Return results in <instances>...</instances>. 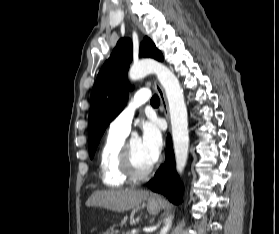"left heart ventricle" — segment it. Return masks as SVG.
<instances>
[{"label": "left heart ventricle", "mask_w": 279, "mask_h": 234, "mask_svg": "<svg viewBox=\"0 0 279 234\" xmlns=\"http://www.w3.org/2000/svg\"><path fill=\"white\" fill-rule=\"evenodd\" d=\"M130 146L133 152L135 164L138 168L145 169L154 161L144 150L140 138L130 139Z\"/></svg>", "instance_id": "b2bd125f"}]
</instances>
